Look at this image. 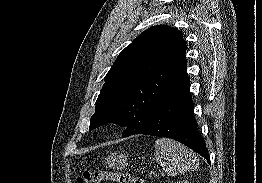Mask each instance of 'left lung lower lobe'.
<instances>
[{"label": "left lung lower lobe", "mask_w": 262, "mask_h": 183, "mask_svg": "<svg viewBox=\"0 0 262 183\" xmlns=\"http://www.w3.org/2000/svg\"><path fill=\"white\" fill-rule=\"evenodd\" d=\"M188 76L153 113L147 125L136 134L167 137L179 141L204 157L208 151L198 131Z\"/></svg>", "instance_id": "0a47b994"}]
</instances>
